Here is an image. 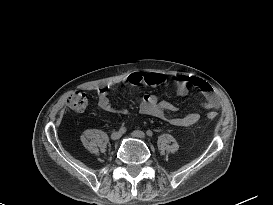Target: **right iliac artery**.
Segmentation results:
<instances>
[{
	"label": "right iliac artery",
	"instance_id": "82829eb1",
	"mask_svg": "<svg viewBox=\"0 0 273 205\" xmlns=\"http://www.w3.org/2000/svg\"><path fill=\"white\" fill-rule=\"evenodd\" d=\"M126 127L125 126H122L120 129H119V132H121L122 134L126 132Z\"/></svg>",
	"mask_w": 273,
	"mask_h": 205
}]
</instances>
